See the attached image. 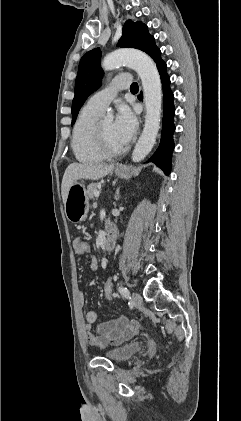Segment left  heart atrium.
Segmentation results:
<instances>
[{
	"mask_svg": "<svg viewBox=\"0 0 241 421\" xmlns=\"http://www.w3.org/2000/svg\"><path fill=\"white\" fill-rule=\"evenodd\" d=\"M137 126L136 116L131 109L127 105H120L114 121V129L117 137L123 144H127L132 140Z\"/></svg>",
	"mask_w": 241,
	"mask_h": 421,
	"instance_id": "obj_1",
	"label": "left heart atrium"
}]
</instances>
